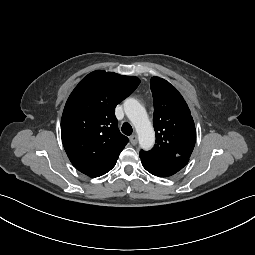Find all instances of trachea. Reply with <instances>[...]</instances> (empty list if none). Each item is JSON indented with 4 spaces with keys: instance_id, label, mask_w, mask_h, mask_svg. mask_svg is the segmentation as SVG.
Returning <instances> with one entry per match:
<instances>
[{
    "instance_id": "3493384b",
    "label": "trachea",
    "mask_w": 255,
    "mask_h": 255,
    "mask_svg": "<svg viewBox=\"0 0 255 255\" xmlns=\"http://www.w3.org/2000/svg\"><path fill=\"white\" fill-rule=\"evenodd\" d=\"M121 130L125 135H131L133 131L132 126L127 122L122 125Z\"/></svg>"
}]
</instances>
